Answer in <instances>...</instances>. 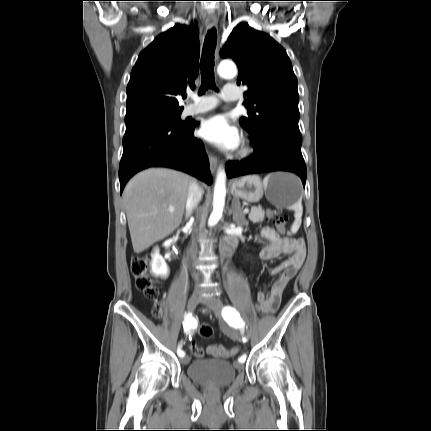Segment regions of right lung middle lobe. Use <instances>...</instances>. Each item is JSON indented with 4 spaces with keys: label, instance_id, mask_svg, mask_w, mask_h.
<instances>
[{
    "label": "right lung middle lobe",
    "instance_id": "obj_1",
    "mask_svg": "<svg viewBox=\"0 0 431 431\" xmlns=\"http://www.w3.org/2000/svg\"><path fill=\"white\" fill-rule=\"evenodd\" d=\"M182 111L176 112H167V113H158L150 116H146L140 119L129 120L126 122V127H131L140 123L148 122V121H171L175 123H183L180 119V114Z\"/></svg>",
    "mask_w": 431,
    "mask_h": 431
}]
</instances>
